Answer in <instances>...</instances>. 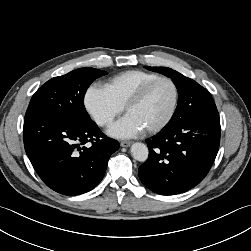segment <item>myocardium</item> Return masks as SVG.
<instances>
[{
  "mask_svg": "<svg viewBox=\"0 0 251 251\" xmlns=\"http://www.w3.org/2000/svg\"><path fill=\"white\" fill-rule=\"evenodd\" d=\"M160 81H166L171 85V87L173 89V102H172L171 109H170L168 115L165 117V119L162 122H160L158 125L145 130L146 133H148V134H156V133L162 131L164 128H166L169 125V123L172 121L173 117L175 116V113L177 111L178 104H179V89H178L176 82L168 76H158L157 78L152 79V80L148 81L147 83H145L144 85H142L135 92V94L128 100V102L125 105V111L128 112V110L131 107L139 104L144 99V97L146 96L148 91L156 83H158Z\"/></svg>",
  "mask_w": 251,
  "mask_h": 251,
  "instance_id": "myocardium-1",
  "label": "myocardium"
}]
</instances>
